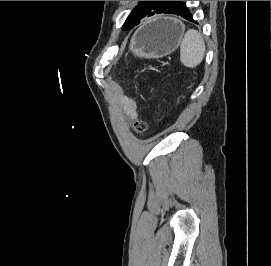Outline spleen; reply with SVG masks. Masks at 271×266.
Segmentation results:
<instances>
[{"instance_id":"1","label":"spleen","mask_w":271,"mask_h":266,"mask_svg":"<svg viewBox=\"0 0 271 266\" xmlns=\"http://www.w3.org/2000/svg\"><path fill=\"white\" fill-rule=\"evenodd\" d=\"M206 47L200 32L195 29L188 30L181 42L180 60L188 68L198 66L205 55Z\"/></svg>"}]
</instances>
